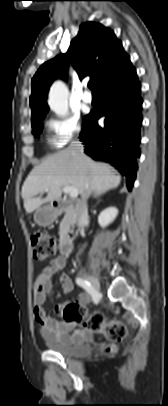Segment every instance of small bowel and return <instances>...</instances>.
I'll return each instance as SVG.
<instances>
[{"mask_svg":"<svg viewBox=\"0 0 168 406\" xmlns=\"http://www.w3.org/2000/svg\"><path fill=\"white\" fill-rule=\"evenodd\" d=\"M65 266L66 258L60 255L53 259L36 277L33 284L34 316L41 326L45 338L58 343H73L89 337L91 332L87 329L78 328L80 324L78 317L71 321L60 318H64V310L69 305L76 307L80 313L89 303L90 296L83 293L71 302L55 306L53 310L54 317L49 316L44 309L47 295L53 288L52 278L56 273L62 272ZM59 283L64 294L73 292L74 284L68 274L62 272Z\"/></svg>","mask_w":168,"mask_h":406,"instance_id":"c3829d8e","label":"small bowel"}]
</instances>
